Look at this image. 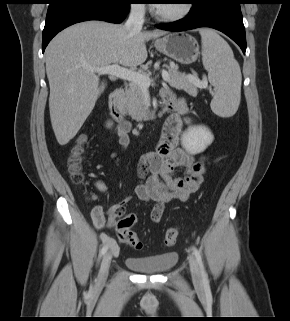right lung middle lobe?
I'll return each mask as SVG.
<instances>
[{
	"instance_id": "dd1d6c3e",
	"label": "right lung middle lobe",
	"mask_w": 290,
	"mask_h": 321,
	"mask_svg": "<svg viewBox=\"0 0 290 321\" xmlns=\"http://www.w3.org/2000/svg\"><path fill=\"white\" fill-rule=\"evenodd\" d=\"M94 1H121V0H94Z\"/></svg>"
}]
</instances>
